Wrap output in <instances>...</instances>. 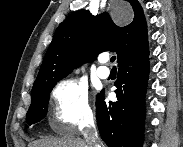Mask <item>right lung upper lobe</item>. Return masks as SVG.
Segmentation results:
<instances>
[{
	"label": "right lung upper lobe",
	"instance_id": "cb5924a9",
	"mask_svg": "<svg viewBox=\"0 0 183 147\" xmlns=\"http://www.w3.org/2000/svg\"><path fill=\"white\" fill-rule=\"evenodd\" d=\"M133 21L120 27L107 13L92 16L79 10L70 14L56 29L32 91L62 79L81 64L104 51L117 53L118 63L148 50L147 25L137 0H129Z\"/></svg>",
	"mask_w": 183,
	"mask_h": 147
}]
</instances>
